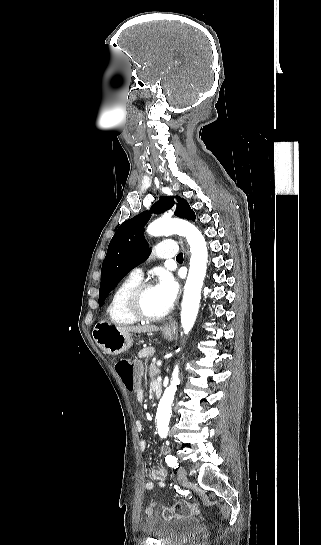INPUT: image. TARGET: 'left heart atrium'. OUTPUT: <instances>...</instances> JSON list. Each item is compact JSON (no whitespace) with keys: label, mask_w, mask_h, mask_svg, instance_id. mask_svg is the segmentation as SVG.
<instances>
[{"label":"left heart atrium","mask_w":321,"mask_h":545,"mask_svg":"<svg viewBox=\"0 0 321 545\" xmlns=\"http://www.w3.org/2000/svg\"><path fill=\"white\" fill-rule=\"evenodd\" d=\"M154 288L169 310L175 303L180 292V286L177 280L171 273L161 271Z\"/></svg>","instance_id":"obj_1"}]
</instances>
